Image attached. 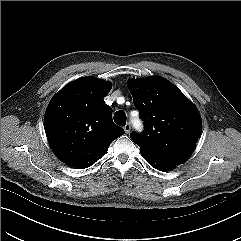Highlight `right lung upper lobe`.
Returning a JSON list of instances; mask_svg holds the SVG:
<instances>
[{
	"label": "right lung upper lobe",
	"mask_w": 241,
	"mask_h": 241,
	"mask_svg": "<svg viewBox=\"0 0 241 241\" xmlns=\"http://www.w3.org/2000/svg\"><path fill=\"white\" fill-rule=\"evenodd\" d=\"M110 83L85 77L67 84L51 100L44 117L45 132L55 155L70 167L92 166L110 143L124 134L104 103Z\"/></svg>",
	"instance_id": "right-lung-upper-lobe-1"
}]
</instances>
